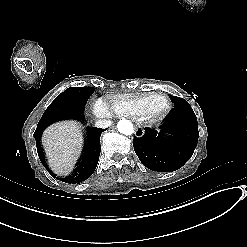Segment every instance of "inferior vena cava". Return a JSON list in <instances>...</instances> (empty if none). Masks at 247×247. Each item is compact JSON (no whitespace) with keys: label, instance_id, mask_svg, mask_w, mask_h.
<instances>
[{"label":"inferior vena cava","instance_id":"obj_1","mask_svg":"<svg viewBox=\"0 0 247 247\" xmlns=\"http://www.w3.org/2000/svg\"><path fill=\"white\" fill-rule=\"evenodd\" d=\"M111 125H112V121L107 120V119H98L95 122V127L99 128V129H107Z\"/></svg>","mask_w":247,"mask_h":247}]
</instances>
